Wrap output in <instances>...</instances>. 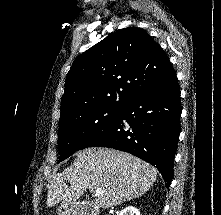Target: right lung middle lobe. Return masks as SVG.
<instances>
[{
	"mask_svg": "<svg viewBox=\"0 0 221 215\" xmlns=\"http://www.w3.org/2000/svg\"><path fill=\"white\" fill-rule=\"evenodd\" d=\"M119 109L92 108L70 114L59 122V162L65 160L95 133L108 127L117 118Z\"/></svg>",
	"mask_w": 221,
	"mask_h": 215,
	"instance_id": "dd1d6c3e",
	"label": "right lung middle lobe"
}]
</instances>
